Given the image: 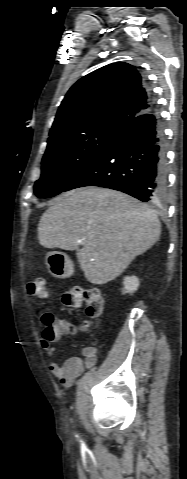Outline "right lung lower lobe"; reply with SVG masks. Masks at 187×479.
Listing matches in <instances>:
<instances>
[{"label": "right lung lower lobe", "mask_w": 187, "mask_h": 479, "mask_svg": "<svg viewBox=\"0 0 187 479\" xmlns=\"http://www.w3.org/2000/svg\"><path fill=\"white\" fill-rule=\"evenodd\" d=\"M84 186L122 191L143 202H155L165 196V137L154 103L149 111L131 120L64 191Z\"/></svg>", "instance_id": "obj_1"}]
</instances>
